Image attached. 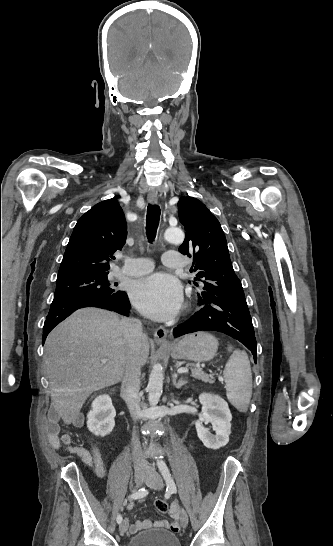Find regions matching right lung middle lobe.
<instances>
[{
	"instance_id": "1",
	"label": "right lung middle lobe",
	"mask_w": 333,
	"mask_h": 546,
	"mask_svg": "<svg viewBox=\"0 0 333 546\" xmlns=\"http://www.w3.org/2000/svg\"><path fill=\"white\" fill-rule=\"evenodd\" d=\"M108 273H87L57 279L54 299L76 295H113L118 290L108 282Z\"/></svg>"
}]
</instances>
